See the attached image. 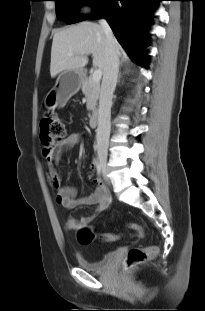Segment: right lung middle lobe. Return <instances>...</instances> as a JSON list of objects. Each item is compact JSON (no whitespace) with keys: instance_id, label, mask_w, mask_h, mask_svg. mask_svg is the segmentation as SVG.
Masks as SVG:
<instances>
[{"instance_id":"obj_1","label":"right lung middle lobe","mask_w":205,"mask_h":311,"mask_svg":"<svg viewBox=\"0 0 205 311\" xmlns=\"http://www.w3.org/2000/svg\"><path fill=\"white\" fill-rule=\"evenodd\" d=\"M56 3L57 17L68 24L83 21L85 18L79 16L76 10L79 9L81 3L90 1L98 8L103 0H53Z\"/></svg>"}]
</instances>
